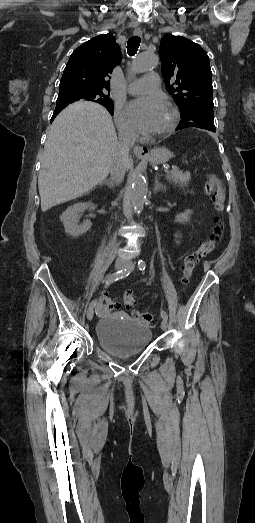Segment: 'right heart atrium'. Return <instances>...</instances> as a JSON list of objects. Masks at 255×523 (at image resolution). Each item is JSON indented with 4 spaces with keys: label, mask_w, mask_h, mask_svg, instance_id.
Returning a JSON list of instances; mask_svg holds the SVG:
<instances>
[{
    "label": "right heart atrium",
    "mask_w": 255,
    "mask_h": 523,
    "mask_svg": "<svg viewBox=\"0 0 255 523\" xmlns=\"http://www.w3.org/2000/svg\"><path fill=\"white\" fill-rule=\"evenodd\" d=\"M114 119L116 126L122 136L126 138H134L136 136V131L127 119L123 106L120 104L116 105L115 107Z\"/></svg>",
    "instance_id": "right-heart-atrium-1"
}]
</instances>
